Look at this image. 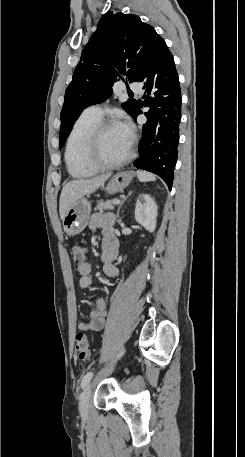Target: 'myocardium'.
<instances>
[{"label": "myocardium", "mask_w": 245, "mask_h": 457, "mask_svg": "<svg viewBox=\"0 0 245 457\" xmlns=\"http://www.w3.org/2000/svg\"><path fill=\"white\" fill-rule=\"evenodd\" d=\"M116 127L113 122L109 121H100L95 126H93L90 131L87 133L86 138L84 140V146L82 151L80 152V162L83 166L87 167L92 171H100L105 169H111L117 167L119 165L124 164L128 160L131 159L133 154V145L134 141L131 140L127 151L119 158L113 160H105L101 162H94L90 158V150L93 144H99L100 140L108 129Z\"/></svg>", "instance_id": "f54148a6"}]
</instances>
